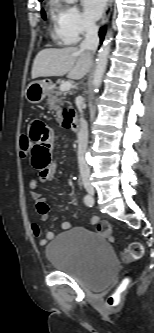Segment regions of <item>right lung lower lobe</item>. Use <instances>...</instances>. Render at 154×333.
<instances>
[{
  "instance_id": "1",
  "label": "right lung lower lobe",
  "mask_w": 154,
  "mask_h": 333,
  "mask_svg": "<svg viewBox=\"0 0 154 333\" xmlns=\"http://www.w3.org/2000/svg\"><path fill=\"white\" fill-rule=\"evenodd\" d=\"M104 34H105V28H101V30H100V38H101V42H102V40H103Z\"/></svg>"
}]
</instances>
